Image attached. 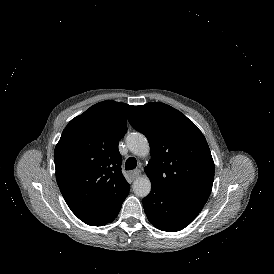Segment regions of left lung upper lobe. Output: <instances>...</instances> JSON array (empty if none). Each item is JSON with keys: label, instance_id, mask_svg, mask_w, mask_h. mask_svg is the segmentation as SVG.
<instances>
[{"label": "left lung upper lobe", "instance_id": "1", "mask_svg": "<svg viewBox=\"0 0 274 274\" xmlns=\"http://www.w3.org/2000/svg\"><path fill=\"white\" fill-rule=\"evenodd\" d=\"M129 123L149 141L151 159L145 171L152 186L204 205L212 190L214 162L195 124L159 102L136 106Z\"/></svg>", "mask_w": 274, "mask_h": 274}]
</instances>
